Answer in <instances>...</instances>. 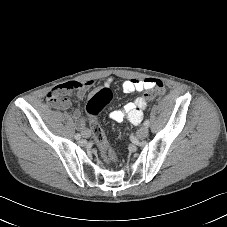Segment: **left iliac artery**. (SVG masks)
Returning <instances> with one entry per match:
<instances>
[{
	"label": "left iliac artery",
	"mask_w": 227,
	"mask_h": 227,
	"mask_svg": "<svg viewBox=\"0 0 227 227\" xmlns=\"http://www.w3.org/2000/svg\"><path fill=\"white\" fill-rule=\"evenodd\" d=\"M149 124H150V121H149L148 119H146V120L144 121V126L148 127Z\"/></svg>",
	"instance_id": "left-iliac-artery-1"
}]
</instances>
